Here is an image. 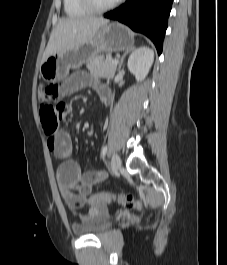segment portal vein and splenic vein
<instances>
[{"label": "portal vein and splenic vein", "mask_w": 227, "mask_h": 265, "mask_svg": "<svg viewBox=\"0 0 227 265\" xmlns=\"http://www.w3.org/2000/svg\"><path fill=\"white\" fill-rule=\"evenodd\" d=\"M118 60L114 59L113 64L117 65Z\"/></svg>", "instance_id": "18ae733b"}]
</instances>
